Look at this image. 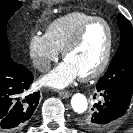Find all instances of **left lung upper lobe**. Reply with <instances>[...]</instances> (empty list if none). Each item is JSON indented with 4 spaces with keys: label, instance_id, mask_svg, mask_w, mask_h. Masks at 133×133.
<instances>
[{
    "label": "left lung upper lobe",
    "instance_id": "5c2ea615",
    "mask_svg": "<svg viewBox=\"0 0 133 133\" xmlns=\"http://www.w3.org/2000/svg\"><path fill=\"white\" fill-rule=\"evenodd\" d=\"M121 31L120 45L105 75L97 83V91L117 87L133 93V27L122 15L118 14ZM94 109V106H93ZM93 111V110H92ZM91 114L78 119V126L85 131H95L97 127L90 121Z\"/></svg>",
    "mask_w": 133,
    "mask_h": 133
}]
</instances>
